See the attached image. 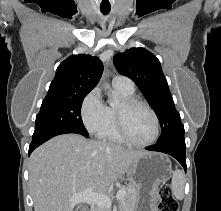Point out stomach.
<instances>
[{
    "instance_id": "obj_1",
    "label": "stomach",
    "mask_w": 221,
    "mask_h": 211,
    "mask_svg": "<svg viewBox=\"0 0 221 211\" xmlns=\"http://www.w3.org/2000/svg\"><path fill=\"white\" fill-rule=\"evenodd\" d=\"M127 174L131 185L137 190L136 211H144L146 200L156 192L161 183L170 178L172 168L166 156L145 152L131 162Z\"/></svg>"
}]
</instances>
